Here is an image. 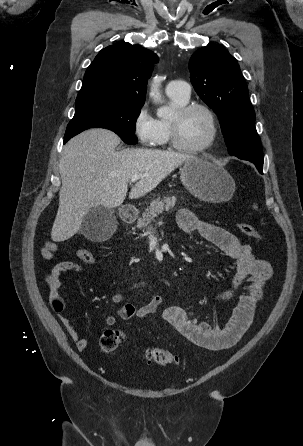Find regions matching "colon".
I'll return each instance as SVG.
<instances>
[{
	"mask_svg": "<svg viewBox=\"0 0 303 446\" xmlns=\"http://www.w3.org/2000/svg\"><path fill=\"white\" fill-rule=\"evenodd\" d=\"M238 230L249 238L260 239L261 236L256 228L244 222L237 223ZM77 257L82 262L93 263L95 257L93 253L88 249H79L77 251ZM125 341V334L120 329L111 328L105 330L100 337V348L104 353H113L118 347H120ZM144 358L149 364L158 365H175L181 362L180 357L170 353L169 351L159 348H149L144 352Z\"/></svg>",
	"mask_w": 303,
	"mask_h": 446,
	"instance_id": "colon-1",
	"label": "colon"
}]
</instances>
